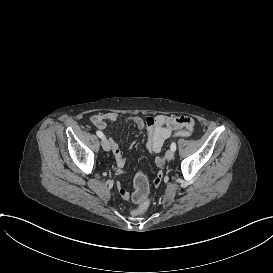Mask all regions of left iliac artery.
<instances>
[{"label": "left iliac artery", "instance_id": "1", "mask_svg": "<svg viewBox=\"0 0 273 273\" xmlns=\"http://www.w3.org/2000/svg\"><path fill=\"white\" fill-rule=\"evenodd\" d=\"M170 148H171V150L175 151L176 150V143L172 142Z\"/></svg>", "mask_w": 273, "mask_h": 273}]
</instances>
